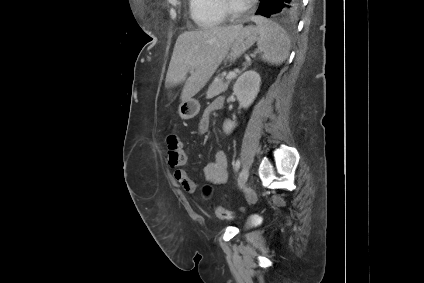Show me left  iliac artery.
Here are the masks:
<instances>
[{
	"label": "left iliac artery",
	"mask_w": 424,
	"mask_h": 283,
	"mask_svg": "<svg viewBox=\"0 0 424 283\" xmlns=\"http://www.w3.org/2000/svg\"><path fill=\"white\" fill-rule=\"evenodd\" d=\"M240 168V160L237 159L235 163V169L238 170Z\"/></svg>",
	"instance_id": "obj_1"
}]
</instances>
